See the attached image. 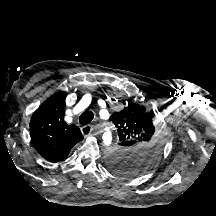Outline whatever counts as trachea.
Masks as SVG:
<instances>
[{"label": "trachea", "instance_id": "3493384b", "mask_svg": "<svg viewBox=\"0 0 216 216\" xmlns=\"http://www.w3.org/2000/svg\"><path fill=\"white\" fill-rule=\"evenodd\" d=\"M94 118V113L92 111H85L79 117V122L82 125L89 124Z\"/></svg>", "mask_w": 216, "mask_h": 216}]
</instances>
